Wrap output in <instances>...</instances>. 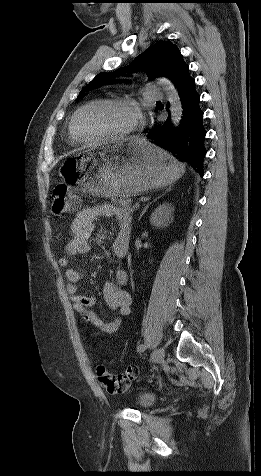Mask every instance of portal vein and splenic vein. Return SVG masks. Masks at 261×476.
I'll return each instance as SVG.
<instances>
[{
	"mask_svg": "<svg viewBox=\"0 0 261 476\" xmlns=\"http://www.w3.org/2000/svg\"><path fill=\"white\" fill-rule=\"evenodd\" d=\"M134 206H135L136 208H139V207H140V203H139V202H136Z\"/></svg>",
	"mask_w": 261,
	"mask_h": 476,
	"instance_id": "obj_1",
	"label": "portal vein and splenic vein"
}]
</instances>
